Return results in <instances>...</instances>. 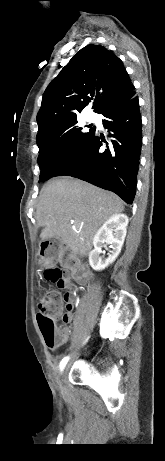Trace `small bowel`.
I'll return each mask as SVG.
<instances>
[{
	"label": "small bowel",
	"instance_id": "1",
	"mask_svg": "<svg viewBox=\"0 0 165 461\" xmlns=\"http://www.w3.org/2000/svg\"><path fill=\"white\" fill-rule=\"evenodd\" d=\"M79 256H63L62 260L59 261L61 267L62 279L67 281V288L70 291H61V298L63 302V308L69 309L67 313H61V320L63 326L59 332V341L54 347L59 348L65 345L71 336V330L67 326L73 318L72 310L75 308L76 301L74 299L75 286L69 281L73 278H79V282H85L87 280L86 274H81V271H87L89 268L88 263H79Z\"/></svg>",
	"mask_w": 165,
	"mask_h": 461
}]
</instances>
